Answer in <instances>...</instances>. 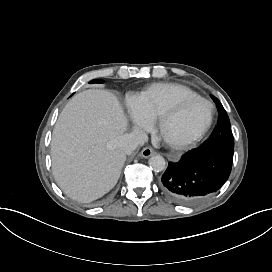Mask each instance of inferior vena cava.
Masks as SVG:
<instances>
[{
    "label": "inferior vena cava",
    "instance_id": "inferior-vena-cava-1",
    "mask_svg": "<svg viewBox=\"0 0 272 272\" xmlns=\"http://www.w3.org/2000/svg\"><path fill=\"white\" fill-rule=\"evenodd\" d=\"M149 140L148 135L142 130L125 134L117 140V146L125 153H131L136 147L143 146Z\"/></svg>",
    "mask_w": 272,
    "mask_h": 272
}]
</instances>
